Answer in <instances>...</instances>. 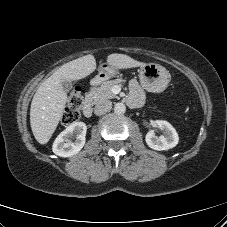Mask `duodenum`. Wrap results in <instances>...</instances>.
Listing matches in <instances>:
<instances>
[{
  "label": "duodenum",
  "mask_w": 227,
  "mask_h": 227,
  "mask_svg": "<svg viewBox=\"0 0 227 227\" xmlns=\"http://www.w3.org/2000/svg\"><path fill=\"white\" fill-rule=\"evenodd\" d=\"M106 78V75L100 74L93 80V85H98ZM83 114L85 117L92 115V104L89 99H86L83 105Z\"/></svg>",
  "instance_id": "duodenum-1"
}]
</instances>
